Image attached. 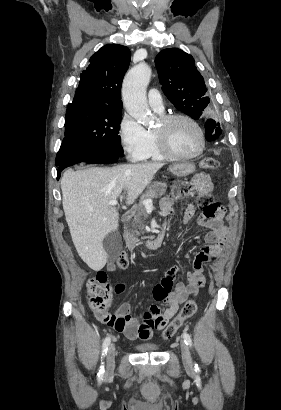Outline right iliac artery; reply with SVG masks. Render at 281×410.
<instances>
[{
  "mask_svg": "<svg viewBox=\"0 0 281 410\" xmlns=\"http://www.w3.org/2000/svg\"><path fill=\"white\" fill-rule=\"evenodd\" d=\"M110 345V337H106L103 346H102V357H105V354L107 353L108 347ZM103 364V363H102ZM103 373H104V365H101L99 372H98V379L101 381L103 379Z\"/></svg>",
  "mask_w": 281,
  "mask_h": 410,
  "instance_id": "right-iliac-artery-1",
  "label": "right iliac artery"
}]
</instances>
